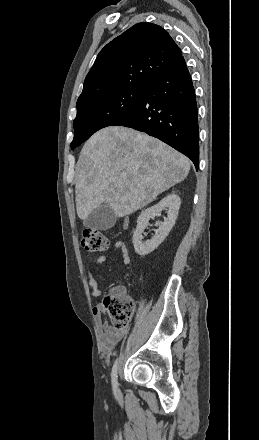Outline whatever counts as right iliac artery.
Segmentation results:
<instances>
[{"mask_svg":"<svg viewBox=\"0 0 259 440\" xmlns=\"http://www.w3.org/2000/svg\"><path fill=\"white\" fill-rule=\"evenodd\" d=\"M117 370H118V360L115 361L113 368H112V373H111L112 386H113L114 391L117 388Z\"/></svg>","mask_w":259,"mask_h":440,"instance_id":"obj_1","label":"right iliac artery"}]
</instances>
